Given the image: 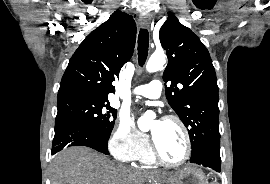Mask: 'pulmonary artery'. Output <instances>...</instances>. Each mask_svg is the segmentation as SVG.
Here are the masks:
<instances>
[{
  "label": "pulmonary artery",
  "instance_id": "obj_1",
  "mask_svg": "<svg viewBox=\"0 0 270 184\" xmlns=\"http://www.w3.org/2000/svg\"><path fill=\"white\" fill-rule=\"evenodd\" d=\"M162 92V83L159 80H153L148 84L136 87L133 94L136 96L157 99Z\"/></svg>",
  "mask_w": 270,
  "mask_h": 184
}]
</instances>
